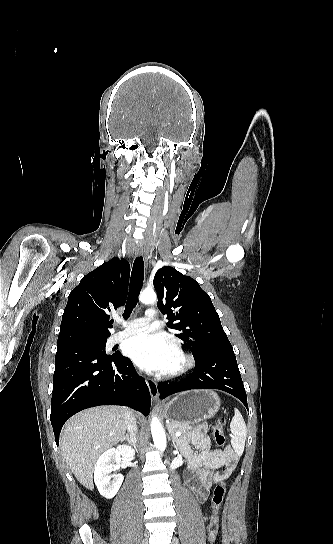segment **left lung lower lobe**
Masks as SVG:
<instances>
[{
  "instance_id": "1",
  "label": "left lung lower lobe",
  "mask_w": 333,
  "mask_h": 544,
  "mask_svg": "<svg viewBox=\"0 0 333 544\" xmlns=\"http://www.w3.org/2000/svg\"><path fill=\"white\" fill-rule=\"evenodd\" d=\"M160 398L190 389H219L237 397L248 409L246 392L234 353L214 352L195 359L193 372L175 383H159Z\"/></svg>"
}]
</instances>
